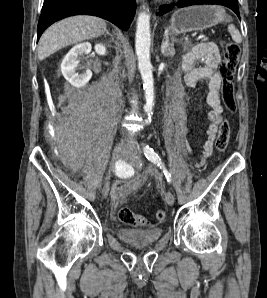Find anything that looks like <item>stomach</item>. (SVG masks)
<instances>
[{"instance_id":"stomach-1","label":"stomach","mask_w":267,"mask_h":298,"mask_svg":"<svg viewBox=\"0 0 267 298\" xmlns=\"http://www.w3.org/2000/svg\"><path fill=\"white\" fill-rule=\"evenodd\" d=\"M227 19L224 9L213 5H195L179 9L172 15L167 31L178 35L201 31Z\"/></svg>"}]
</instances>
